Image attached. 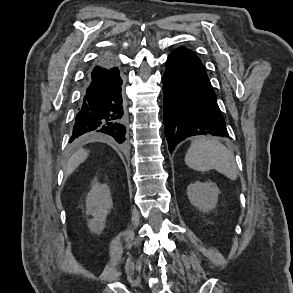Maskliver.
<instances>
[{
    "label": "liver",
    "instance_id": "6515ba94",
    "mask_svg": "<svg viewBox=\"0 0 293 293\" xmlns=\"http://www.w3.org/2000/svg\"><path fill=\"white\" fill-rule=\"evenodd\" d=\"M88 152L83 148L77 150L68 160L65 172L69 176L87 158Z\"/></svg>",
    "mask_w": 293,
    "mask_h": 293
}]
</instances>
